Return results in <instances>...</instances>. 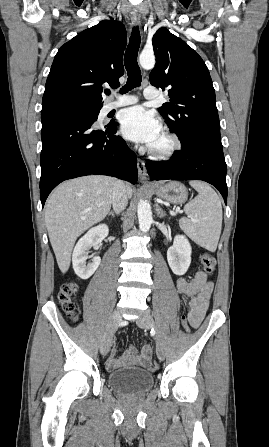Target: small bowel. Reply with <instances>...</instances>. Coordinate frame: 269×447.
<instances>
[{
    "label": "small bowel",
    "instance_id": "obj_1",
    "mask_svg": "<svg viewBox=\"0 0 269 447\" xmlns=\"http://www.w3.org/2000/svg\"><path fill=\"white\" fill-rule=\"evenodd\" d=\"M175 286L181 295L189 297V319L193 327H198L209 308L210 298L214 290V282L208 279L204 271H197L192 280L177 279ZM142 348L143 345L141 350ZM141 350L138 356L135 348L130 346L123 355L117 357L116 350L113 348L110 351L107 361L108 369L113 370L129 362L146 368V363L147 361H152V356H143Z\"/></svg>",
    "mask_w": 269,
    "mask_h": 447
}]
</instances>
